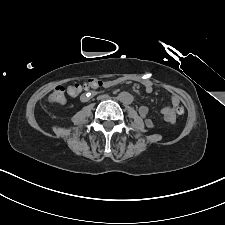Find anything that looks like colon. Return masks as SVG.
<instances>
[{"mask_svg": "<svg viewBox=\"0 0 225 225\" xmlns=\"http://www.w3.org/2000/svg\"><path fill=\"white\" fill-rule=\"evenodd\" d=\"M93 86L92 80H88L83 84L70 83L67 86L59 85L53 89L47 96V101L51 104H63L66 102V93L70 96H77L83 89H89ZM176 113L182 115L184 113V107L179 105L176 108Z\"/></svg>", "mask_w": 225, "mask_h": 225, "instance_id": "obj_1", "label": "colon"}]
</instances>
